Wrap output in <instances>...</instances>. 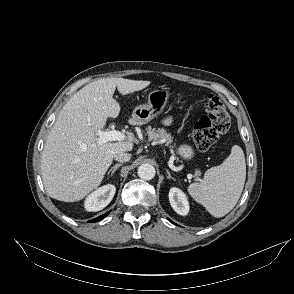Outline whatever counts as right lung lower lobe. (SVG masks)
<instances>
[{
  "instance_id": "obj_1",
  "label": "right lung lower lobe",
  "mask_w": 294,
  "mask_h": 294,
  "mask_svg": "<svg viewBox=\"0 0 294 294\" xmlns=\"http://www.w3.org/2000/svg\"><path fill=\"white\" fill-rule=\"evenodd\" d=\"M109 213V212H108ZM108 213H106V214H104V215H102V216H100V217H98V218H96V219H93V220H91V221H89V222H97V221H100L101 219H103L104 217H106L107 215H108Z\"/></svg>"
}]
</instances>
